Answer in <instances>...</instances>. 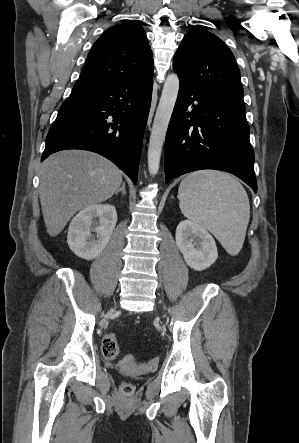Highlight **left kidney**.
Masks as SVG:
<instances>
[{"label": "left kidney", "instance_id": "obj_1", "mask_svg": "<svg viewBox=\"0 0 299 443\" xmlns=\"http://www.w3.org/2000/svg\"><path fill=\"white\" fill-rule=\"evenodd\" d=\"M176 245L188 266L196 271L210 267L217 259L215 240L202 226L184 220L176 228Z\"/></svg>", "mask_w": 299, "mask_h": 443}]
</instances>
